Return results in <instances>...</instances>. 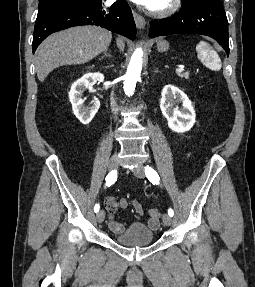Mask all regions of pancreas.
Listing matches in <instances>:
<instances>
[{"label":"pancreas","mask_w":255,"mask_h":287,"mask_svg":"<svg viewBox=\"0 0 255 287\" xmlns=\"http://www.w3.org/2000/svg\"><path fill=\"white\" fill-rule=\"evenodd\" d=\"M178 76L181 78H185V80H189V72H185V74H181V72H177Z\"/></svg>","instance_id":"1"}]
</instances>
